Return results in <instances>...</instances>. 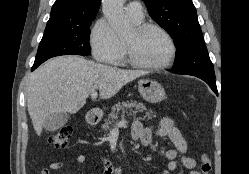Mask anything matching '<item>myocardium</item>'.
Masks as SVG:
<instances>
[{"label": "myocardium", "instance_id": "f54148a6", "mask_svg": "<svg viewBox=\"0 0 249 174\" xmlns=\"http://www.w3.org/2000/svg\"><path fill=\"white\" fill-rule=\"evenodd\" d=\"M150 30L159 31L167 38V40L169 41L170 46H171L170 57L166 61L159 63V64L145 63V62L138 60L133 55L130 47L124 42L125 59L129 64H131L132 66L137 67V68L148 69V70L164 69V68L170 66L174 62L176 55H177V45H176L173 37L171 36V34L165 28H163L162 26H160L158 24L140 23L135 27V32L138 36H141Z\"/></svg>", "mask_w": 249, "mask_h": 174}]
</instances>
